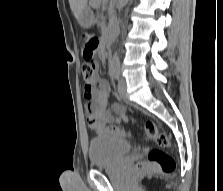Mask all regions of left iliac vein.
I'll list each match as a JSON object with an SVG mask.
<instances>
[{"label": "left iliac vein", "mask_w": 223, "mask_h": 191, "mask_svg": "<svg viewBox=\"0 0 223 191\" xmlns=\"http://www.w3.org/2000/svg\"><path fill=\"white\" fill-rule=\"evenodd\" d=\"M126 88V80L124 78H121L118 82V92L119 95L124 99H126L127 96Z\"/></svg>", "instance_id": "left-iliac-vein-1"}]
</instances>
